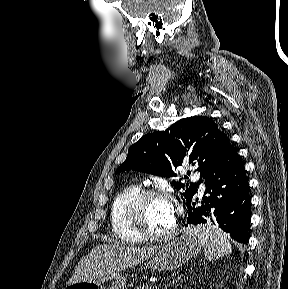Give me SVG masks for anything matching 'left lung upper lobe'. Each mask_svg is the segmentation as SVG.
<instances>
[{
    "label": "left lung upper lobe",
    "instance_id": "left-lung-upper-lobe-1",
    "mask_svg": "<svg viewBox=\"0 0 288 289\" xmlns=\"http://www.w3.org/2000/svg\"><path fill=\"white\" fill-rule=\"evenodd\" d=\"M228 142L227 135L212 119L205 116L184 118L165 131L144 135L129 148L126 160L115 174L133 169L157 176H176L172 168L182 165L188 154L189 163L198 166L205 178L221 159ZM174 183L178 190L185 187L181 180ZM186 188L183 201L189 203L197 192V185L186 184Z\"/></svg>",
    "mask_w": 288,
    "mask_h": 289
}]
</instances>
